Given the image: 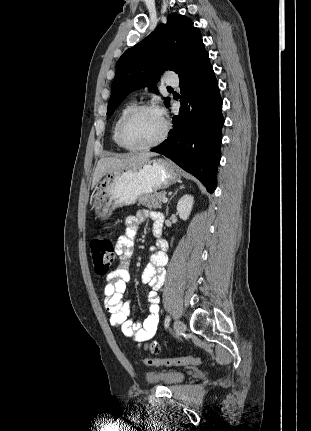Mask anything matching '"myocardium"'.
<instances>
[{
    "label": "myocardium",
    "mask_w": 311,
    "mask_h": 431,
    "mask_svg": "<svg viewBox=\"0 0 311 431\" xmlns=\"http://www.w3.org/2000/svg\"><path fill=\"white\" fill-rule=\"evenodd\" d=\"M149 109L157 110L156 107L153 106L152 104H148V103L138 104V105L134 106L132 109H130L120 119V121L118 123V137H119V140H120V142L124 148H126L128 150H135V151L147 150V149L158 146L167 137L168 132H169V124H168V121L162 116V118H163V131L155 140H153L150 143L140 145V146L131 145L128 142V140L126 138V134H125L126 125L137 114H139L142 111L149 110Z\"/></svg>",
    "instance_id": "1"
}]
</instances>
